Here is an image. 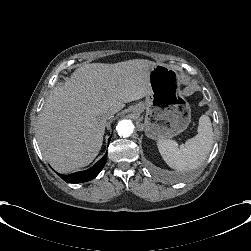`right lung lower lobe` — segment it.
I'll list each match as a JSON object with an SVG mask.
<instances>
[{
  "instance_id": "right-lung-lower-lobe-1",
  "label": "right lung lower lobe",
  "mask_w": 251,
  "mask_h": 251,
  "mask_svg": "<svg viewBox=\"0 0 251 251\" xmlns=\"http://www.w3.org/2000/svg\"><path fill=\"white\" fill-rule=\"evenodd\" d=\"M106 160H107V153L104 155L102 159H100L94 166H92L88 170L76 172L69 175L59 174V176L67 183H81L90 181L100 173V171L102 170V168L106 163Z\"/></svg>"
}]
</instances>
